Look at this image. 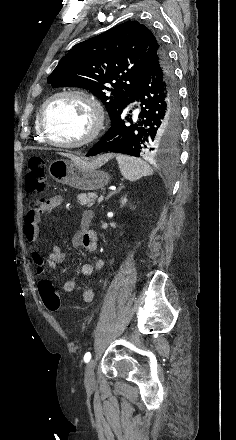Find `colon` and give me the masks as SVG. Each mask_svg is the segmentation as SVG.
Here are the masks:
<instances>
[{
  "instance_id": "5ec220e1",
  "label": "colon",
  "mask_w": 236,
  "mask_h": 440,
  "mask_svg": "<svg viewBox=\"0 0 236 440\" xmlns=\"http://www.w3.org/2000/svg\"><path fill=\"white\" fill-rule=\"evenodd\" d=\"M46 179L44 161L39 157L31 158L28 162L25 177L26 189L29 192H41L45 187ZM39 291L47 310L56 312L60 309L61 301L59 294L48 280H41L39 282Z\"/></svg>"
}]
</instances>
